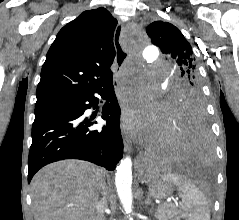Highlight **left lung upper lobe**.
<instances>
[{"mask_svg":"<svg viewBox=\"0 0 239 220\" xmlns=\"http://www.w3.org/2000/svg\"><path fill=\"white\" fill-rule=\"evenodd\" d=\"M146 32L179 74L170 85L169 109L177 112L204 111L201 81L189 42L178 28L168 22L155 21L146 28Z\"/></svg>","mask_w":239,"mask_h":220,"instance_id":"5c2ea615","label":"left lung upper lobe"}]
</instances>
